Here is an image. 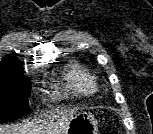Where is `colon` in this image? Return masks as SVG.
<instances>
[{
  "label": "colon",
  "mask_w": 153,
  "mask_h": 134,
  "mask_svg": "<svg viewBox=\"0 0 153 134\" xmlns=\"http://www.w3.org/2000/svg\"><path fill=\"white\" fill-rule=\"evenodd\" d=\"M103 134H118L117 131H110V132H106V133H103Z\"/></svg>",
  "instance_id": "1"
}]
</instances>
